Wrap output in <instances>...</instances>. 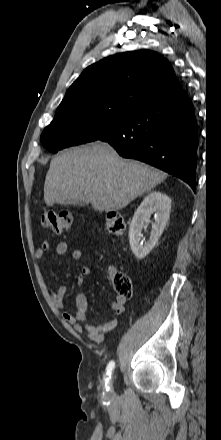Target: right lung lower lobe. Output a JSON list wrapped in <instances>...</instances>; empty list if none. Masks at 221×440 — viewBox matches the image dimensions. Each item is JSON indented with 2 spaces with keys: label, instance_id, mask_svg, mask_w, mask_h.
<instances>
[{
  "label": "right lung lower lobe",
  "instance_id": "obj_1",
  "mask_svg": "<svg viewBox=\"0 0 221 440\" xmlns=\"http://www.w3.org/2000/svg\"><path fill=\"white\" fill-rule=\"evenodd\" d=\"M98 140L109 143L124 158L182 179L195 191L197 124L191 100L182 89L138 107Z\"/></svg>",
  "mask_w": 221,
  "mask_h": 440
}]
</instances>
